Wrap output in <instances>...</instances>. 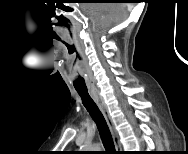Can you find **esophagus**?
Masks as SVG:
<instances>
[{"label":"esophagus","mask_w":188,"mask_h":154,"mask_svg":"<svg viewBox=\"0 0 188 154\" xmlns=\"http://www.w3.org/2000/svg\"><path fill=\"white\" fill-rule=\"evenodd\" d=\"M90 94L93 97V99L95 100V102L97 103L98 107L100 108V110L107 122V125L110 129V132H111V135L113 138V142H114L116 151L120 153L122 151V146H121L119 136H118L117 130L115 128L113 119H112L111 115L109 114V111H108L107 106L104 102V99L102 98V96L100 95V93L98 91L91 90Z\"/></svg>","instance_id":"34e87169"}]
</instances>
